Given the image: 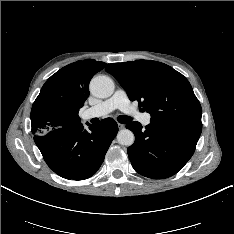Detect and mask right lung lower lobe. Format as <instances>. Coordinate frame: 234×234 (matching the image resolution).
<instances>
[{
	"mask_svg": "<svg viewBox=\"0 0 234 234\" xmlns=\"http://www.w3.org/2000/svg\"><path fill=\"white\" fill-rule=\"evenodd\" d=\"M118 132L117 123L106 118L84 130L82 124L35 134L34 141L47 165L66 179L83 180L100 168Z\"/></svg>",
	"mask_w": 234,
	"mask_h": 234,
	"instance_id": "right-lung-lower-lobe-1",
	"label": "right lung lower lobe"
}]
</instances>
